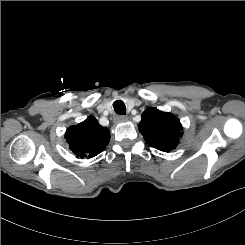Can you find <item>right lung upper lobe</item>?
<instances>
[{
    "label": "right lung upper lobe",
    "mask_w": 245,
    "mask_h": 245,
    "mask_svg": "<svg viewBox=\"0 0 245 245\" xmlns=\"http://www.w3.org/2000/svg\"><path fill=\"white\" fill-rule=\"evenodd\" d=\"M65 138L77 158H91L105 149L110 141V132L89 116L84 122L70 126Z\"/></svg>",
    "instance_id": "cb5924a9"
}]
</instances>
